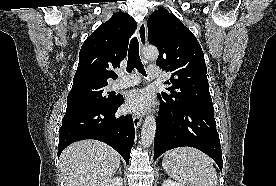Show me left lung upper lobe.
<instances>
[{"label":"left lung upper lobe","mask_w":276,"mask_h":186,"mask_svg":"<svg viewBox=\"0 0 276 186\" xmlns=\"http://www.w3.org/2000/svg\"><path fill=\"white\" fill-rule=\"evenodd\" d=\"M149 42L160 52L156 64L171 73L161 97L175 108L213 106L206 76L207 68L199 42L173 14L159 8L149 17Z\"/></svg>","instance_id":"1"}]
</instances>
